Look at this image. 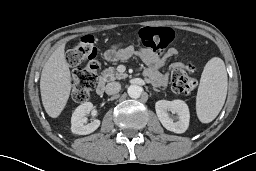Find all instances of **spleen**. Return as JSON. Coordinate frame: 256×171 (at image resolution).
Wrapping results in <instances>:
<instances>
[{
  "label": "spleen",
  "instance_id": "1",
  "mask_svg": "<svg viewBox=\"0 0 256 171\" xmlns=\"http://www.w3.org/2000/svg\"><path fill=\"white\" fill-rule=\"evenodd\" d=\"M227 86L224 61L211 58L202 72L196 97V112L202 123H210L217 117L225 103Z\"/></svg>",
  "mask_w": 256,
  "mask_h": 171
}]
</instances>
